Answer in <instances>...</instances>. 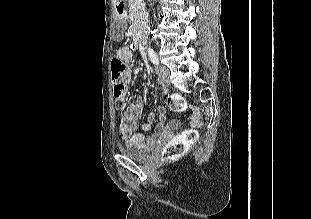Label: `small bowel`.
Segmentation results:
<instances>
[{
	"mask_svg": "<svg viewBox=\"0 0 311 219\" xmlns=\"http://www.w3.org/2000/svg\"><path fill=\"white\" fill-rule=\"evenodd\" d=\"M117 58L128 62L130 60V52L128 48L122 47L117 50ZM124 81L126 84H130L132 81V71L127 69L124 74ZM143 107V99L138 97L134 102L127 105L125 108V112L123 118L119 124V133L121 138L128 145H141L145 140V135L142 132H136V128L138 125L140 113ZM195 114L196 111H193ZM160 123L157 125V134L152 137V139H157L162 136H169L172 133L173 125H169L166 123L167 116L165 115V111L160 109ZM156 119V114L150 112L147 114L146 121L142 124V130L144 132H148L152 130L154 122ZM191 125H197L198 119L193 118L190 122Z\"/></svg>",
	"mask_w": 311,
	"mask_h": 219,
	"instance_id": "c3829d8e",
	"label": "small bowel"
}]
</instances>
